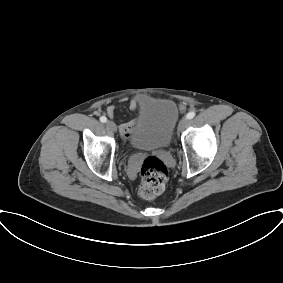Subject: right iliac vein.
<instances>
[{"mask_svg":"<svg viewBox=\"0 0 283 283\" xmlns=\"http://www.w3.org/2000/svg\"><path fill=\"white\" fill-rule=\"evenodd\" d=\"M106 127L113 132L117 131V126L113 121H107Z\"/></svg>","mask_w":283,"mask_h":283,"instance_id":"1","label":"right iliac vein"}]
</instances>
